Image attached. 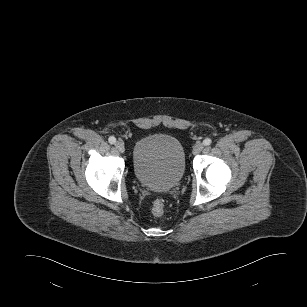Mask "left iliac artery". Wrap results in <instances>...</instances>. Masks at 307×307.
<instances>
[{"instance_id": "obj_1", "label": "left iliac artery", "mask_w": 307, "mask_h": 307, "mask_svg": "<svg viewBox=\"0 0 307 307\" xmlns=\"http://www.w3.org/2000/svg\"><path fill=\"white\" fill-rule=\"evenodd\" d=\"M212 143V140L210 138H206L204 141H203V144L205 146H209L210 144Z\"/></svg>"}]
</instances>
